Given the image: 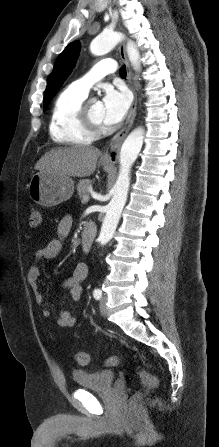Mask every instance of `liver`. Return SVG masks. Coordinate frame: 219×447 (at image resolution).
Returning a JSON list of instances; mask_svg holds the SVG:
<instances>
[{"mask_svg": "<svg viewBox=\"0 0 219 447\" xmlns=\"http://www.w3.org/2000/svg\"><path fill=\"white\" fill-rule=\"evenodd\" d=\"M100 155L99 149L82 145L51 149L39 159L35 169L64 176L88 177L94 173Z\"/></svg>", "mask_w": 219, "mask_h": 447, "instance_id": "6515ba94", "label": "liver"}]
</instances>
